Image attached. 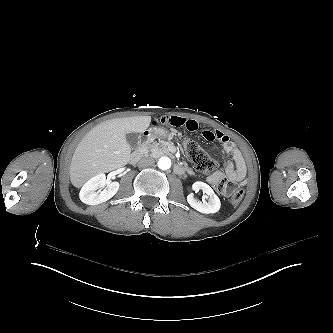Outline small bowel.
<instances>
[{"instance_id": "c3829d8e", "label": "small bowel", "mask_w": 333, "mask_h": 333, "mask_svg": "<svg viewBox=\"0 0 333 333\" xmlns=\"http://www.w3.org/2000/svg\"><path fill=\"white\" fill-rule=\"evenodd\" d=\"M154 124L158 121H154ZM159 123L184 128L188 131L195 132L200 129V123L197 119L185 116H168L159 121ZM203 137L208 141H220L222 149L231 154V160L226 163L224 171H215L206 177V181L212 185L216 186L223 179L232 180L240 185L246 183V164L243 155L237 145L232 142L228 136L223 132L207 128L206 126L202 130ZM214 146L213 148H217Z\"/></svg>"}]
</instances>
